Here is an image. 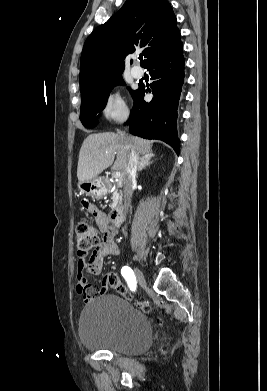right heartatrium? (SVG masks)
Instances as JSON below:
<instances>
[{"mask_svg":"<svg viewBox=\"0 0 267 391\" xmlns=\"http://www.w3.org/2000/svg\"><path fill=\"white\" fill-rule=\"evenodd\" d=\"M128 107L119 91L112 92L106 99L101 114L111 121H122L128 117Z\"/></svg>","mask_w":267,"mask_h":391,"instance_id":"right-heart-atrium-1","label":"right heart atrium"}]
</instances>
